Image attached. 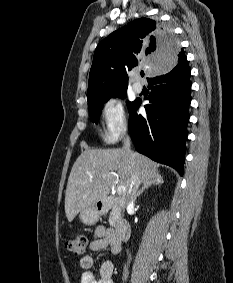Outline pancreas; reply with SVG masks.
Segmentation results:
<instances>
[{"label": "pancreas", "instance_id": "cf45deb5", "mask_svg": "<svg viewBox=\"0 0 233 283\" xmlns=\"http://www.w3.org/2000/svg\"><path fill=\"white\" fill-rule=\"evenodd\" d=\"M120 218V210L118 207L115 205L113 206L111 212H110V217H109V224L110 226H115L116 221Z\"/></svg>", "mask_w": 233, "mask_h": 283}]
</instances>
